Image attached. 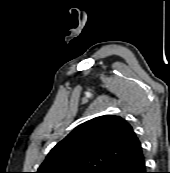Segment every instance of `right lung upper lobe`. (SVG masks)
I'll return each instance as SVG.
<instances>
[{
	"label": "right lung upper lobe",
	"mask_w": 170,
	"mask_h": 173,
	"mask_svg": "<svg viewBox=\"0 0 170 173\" xmlns=\"http://www.w3.org/2000/svg\"><path fill=\"white\" fill-rule=\"evenodd\" d=\"M141 149L128 122L119 116H100L77 126L60 141L37 173L104 171Z\"/></svg>",
	"instance_id": "obj_1"
}]
</instances>
